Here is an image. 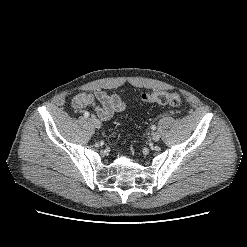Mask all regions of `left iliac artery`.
Masks as SVG:
<instances>
[{
    "label": "left iliac artery",
    "mask_w": 247,
    "mask_h": 247,
    "mask_svg": "<svg viewBox=\"0 0 247 247\" xmlns=\"http://www.w3.org/2000/svg\"><path fill=\"white\" fill-rule=\"evenodd\" d=\"M151 129L152 130H155L156 129V126L155 125H152Z\"/></svg>",
    "instance_id": "1"
}]
</instances>
